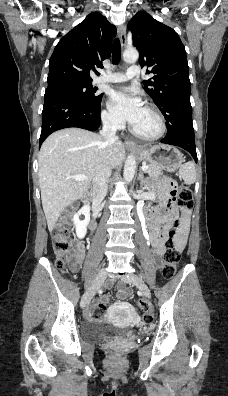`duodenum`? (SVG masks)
I'll return each instance as SVG.
<instances>
[{
	"label": "duodenum",
	"mask_w": 228,
	"mask_h": 396,
	"mask_svg": "<svg viewBox=\"0 0 228 396\" xmlns=\"http://www.w3.org/2000/svg\"><path fill=\"white\" fill-rule=\"evenodd\" d=\"M82 203H83L84 207H90L91 194L89 192L85 193ZM159 223H160V220L157 218H154L153 216H148L146 218V226H147V229H148V232L150 235L151 242H152L153 236L157 235L159 232ZM90 224L94 228L95 222L92 218L90 220Z\"/></svg>",
	"instance_id": "410a0bca"
}]
</instances>
